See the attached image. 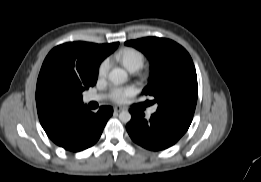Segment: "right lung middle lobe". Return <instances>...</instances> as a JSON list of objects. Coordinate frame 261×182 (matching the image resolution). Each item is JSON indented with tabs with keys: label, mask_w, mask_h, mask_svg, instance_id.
<instances>
[{
	"label": "right lung middle lobe",
	"mask_w": 261,
	"mask_h": 182,
	"mask_svg": "<svg viewBox=\"0 0 261 182\" xmlns=\"http://www.w3.org/2000/svg\"><path fill=\"white\" fill-rule=\"evenodd\" d=\"M97 81V72L95 74L94 83ZM52 84L60 90L71 92L78 98H82L84 89L81 87L79 81L71 74L60 69H54L51 74Z\"/></svg>",
	"instance_id": "1"
}]
</instances>
